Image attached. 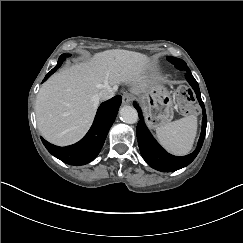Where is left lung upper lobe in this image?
<instances>
[{
    "instance_id": "5c2ea615",
    "label": "left lung upper lobe",
    "mask_w": 243,
    "mask_h": 243,
    "mask_svg": "<svg viewBox=\"0 0 243 243\" xmlns=\"http://www.w3.org/2000/svg\"><path fill=\"white\" fill-rule=\"evenodd\" d=\"M167 60L170 63L174 64L178 69H182L183 67H188L186 65V63L183 60L179 59V58L167 57Z\"/></svg>"
}]
</instances>
